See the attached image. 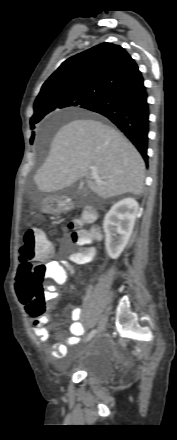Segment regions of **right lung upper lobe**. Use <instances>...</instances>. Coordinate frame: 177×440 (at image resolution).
Here are the masks:
<instances>
[{
	"instance_id": "obj_1",
	"label": "right lung upper lobe",
	"mask_w": 177,
	"mask_h": 440,
	"mask_svg": "<svg viewBox=\"0 0 177 440\" xmlns=\"http://www.w3.org/2000/svg\"><path fill=\"white\" fill-rule=\"evenodd\" d=\"M139 73L124 48L101 43L64 61L43 84L34 106L66 92L104 96Z\"/></svg>"
}]
</instances>
